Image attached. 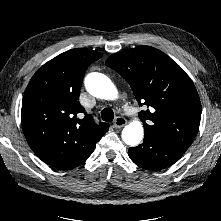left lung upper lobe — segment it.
Returning <instances> with one entry per match:
<instances>
[{"label": "left lung upper lobe", "mask_w": 221, "mask_h": 221, "mask_svg": "<svg viewBox=\"0 0 221 221\" xmlns=\"http://www.w3.org/2000/svg\"><path fill=\"white\" fill-rule=\"evenodd\" d=\"M106 65L130 84L140 106L150 107L139 113L145 135L186 151L200 125L201 103L183 69L150 46L115 53Z\"/></svg>", "instance_id": "5c2ea615"}]
</instances>
